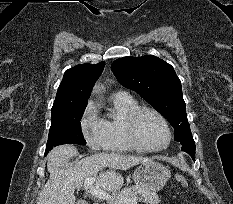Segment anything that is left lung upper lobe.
I'll use <instances>...</instances> for the list:
<instances>
[{
	"label": "left lung upper lobe",
	"mask_w": 233,
	"mask_h": 204,
	"mask_svg": "<svg viewBox=\"0 0 233 204\" xmlns=\"http://www.w3.org/2000/svg\"><path fill=\"white\" fill-rule=\"evenodd\" d=\"M111 69L123 86L139 93L168 119L174 127V140L182 150H195L181 81L170 64L153 55L128 56L115 60Z\"/></svg>",
	"instance_id": "obj_1"
}]
</instances>
